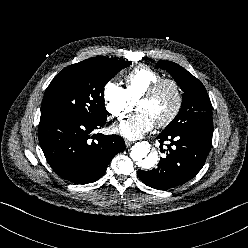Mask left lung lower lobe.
I'll return each mask as SVG.
<instances>
[{"label":"left lung lower lobe","mask_w":248,"mask_h":248,"mask_svg":"<svg viewBox=\"0 0 248 248\" xmlns=\"http://www.w3.org/2000/svg\"><path fill=\"white\" fill-rule=\"evenodd\" d=\"M212 135L213 132L163 130L157 139H160L161 146L164 141L171 142L166 157L160 159L155 169L138 170L139 178L146 185L158 190H167L186 183L203 167L211 149Z\"/></svg>","instance_id":"obj_1"}]
</instances>
